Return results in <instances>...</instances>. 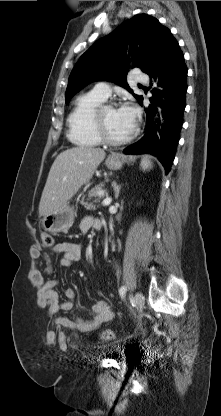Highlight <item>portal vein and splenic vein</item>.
I'll return each instance as SVG.
<instances>
[{
    "mask_svg": "<svg viewBox=\"0 0 221 416\" xmlns=\"http://www.w3.org/2000/svg\"><path fill=\"white\" fill-rule=\"evenodd\" d=\"M103 192H100L99 194H102ZM111 201H112V199L110 198V197H106L104 200H103V202H102V204L103 205H105V206H107V205H109L110 203H111Z\"/></svg>",
    "mask_w": 221,
    "mask_h": 416,
    "instance_id": "portal-vein-and-splenic-vein-1",
    "label": "portal vein and splenic vein"
}]
</instances>
